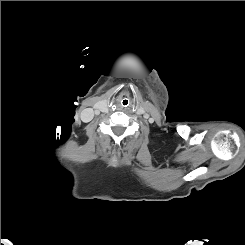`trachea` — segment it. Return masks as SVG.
<instances>
[{
  "label": "trachea",
  "mask_w": 245,
  "mask_h": 245,
  "mask_svg": "<svg viewBox=\"0 0 245 245\" xmlns=\"http://www.w3.org/2000/svg\"><path fill=\"white\" fill-rule=\"evenodd\" d=\"M120 104H121L122 107H128L130 105V99L129 98H123L121 100Z\"/></svg>",
  "instance_id": "trachea-1"
}]
</instances>
